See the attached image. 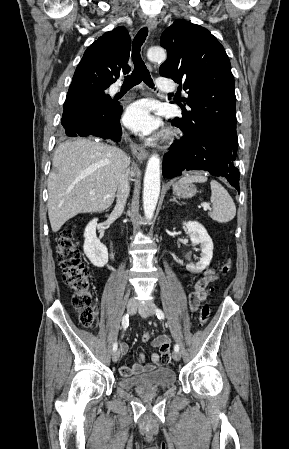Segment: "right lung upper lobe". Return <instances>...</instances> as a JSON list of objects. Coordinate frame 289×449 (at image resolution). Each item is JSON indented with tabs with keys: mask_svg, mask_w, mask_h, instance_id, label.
Masks as SVG:
<instances>
[{
	"mask_svg": "<svg viewBox=\"0 0 289 449\" xmlns=\"http://www.w3.org/2000/svg\"><path fill=\"white\" fill-rule=\"evenodd\" d=\"M131 39L125 27L105 32L85 51L73 76V80L95 83L102 89L108 88L121 73L131 68L127 62Z\"/></svg>",
	"mask_w": 289,
	"mask_h": 449,
	"instance_id": "1",
	"label": "right lung upper lobe"
}]
</instances>
